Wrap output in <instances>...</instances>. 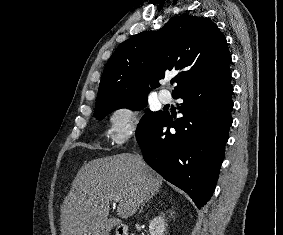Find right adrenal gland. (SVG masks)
I'll list each match as a JSON object with an SVG mask.
<instances>
[{"label":"right adrenal gland","mask_w":283,"mask_h":235,"mask_svg":"<svg viewBox=\"0 0 283 235\" xmlns=\"http://www.w3.org/2000/svg\"><path fill=\"white\" fill-rule=\"evenodd\" d=\"M153 196H154V195L149 196V197L145 200V202H148L151 198H153ZM145 202L142 204L141 210L143 209V207H144V205H145Z\"/></svg>","instance_id":"2a0ac1e0"}]
</instances>
